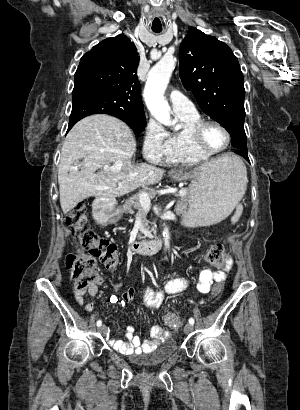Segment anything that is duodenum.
<instances>
[{
	"label": "duodenum",
	"instance_id": "410a0bca",
	"mask_svg": "<svg viewBox=\"0 0 300 410\" xmlns=\"http://www.w3.org/2000/svg\"><path fill=\"white\" fill-rule=\"evenodd\" d=\"M112 200L104 198L94 203L93 213L94 217L99 223L109 222V213L112 209ZM130 251L141 254H153L161 248V243L156 240L148 241H132L128 244Z\"/></svg>",
	"mask_w": 300,
	"mask_h": 410
}]
</instances>
